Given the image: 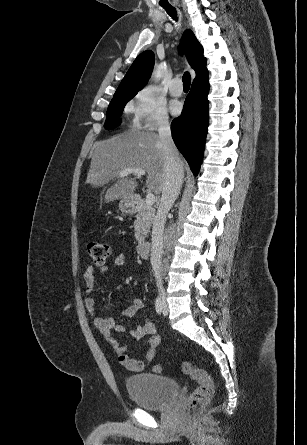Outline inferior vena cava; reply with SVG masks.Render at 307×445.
<instances>
[{
  "mask_svg": "<svg viewBox=\"0 0 307 445\" xmlns=\"http://www.w3.org/2000/svg\"><path fill=\"white\" fill-rule=\"evenodd\" d=\"M160 142H163L165 150L164 162V182L162 196L158 206L156 218L152 229V243L150 253V263L154 277L157 281L159 295L165 297V289L162 285L160 275L162 253H163V233L168 210L173 206L184 178L183 162L171 136V128L168 116H161L158 124Z\"/></svg>",
  "mask_w": 307,
  "mask_h": 445,
  "instance_id": "inferior-vena-cava-1",
  "label": "inferior vena cava"
}]
</instances>
